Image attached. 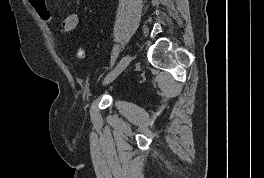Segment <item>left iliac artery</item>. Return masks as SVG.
I'll use <instances>...</instances> for the list:
<instances>
[{"label": "left iliac artery", "instance_id": "44dca946", "mask_svg": "<svg viewBox=\"0 0 264 178\" xmlns=\"http://www.w3.org/2000/svg\"><path fill=\"white\" fill-rule=\"evenodd\" d=\"M119 51H120V47L119 45H116L113 50H112V56H111V66L114 65L117 57H118V54H119Z\"/></svg>", "mask_w": 264, "mask_h": 178}]
</instances>
